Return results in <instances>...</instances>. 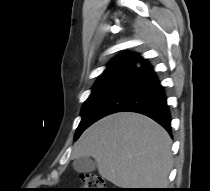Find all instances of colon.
<instances>
[{"label": "colon", "instance_id": "5ec220e1", "mask_svg": "<svg viewBox=\"0 0 210 191\" xmlns=\"http://www.w3.org/2000/svg\"><path fill=\"white\" fill-rule=\"evenodd\" d=\"M83 188L80 191H110L104 179L98 175L84 173L81 175Z\"/></svg>", "mask_w": 210, "mask_h": 191}]
</instances>
